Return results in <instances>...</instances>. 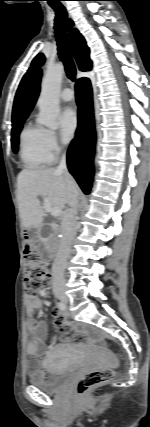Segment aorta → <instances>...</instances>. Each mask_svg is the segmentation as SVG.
<instances>
[{
	"instance_id": "obj_1",
	"label": "aorta",
	"mask_w": 150,
	"mask_h": 427,
	"mask_svg": "<svg viewBox=\"0 0 150 427\" xmlns=\"http://www.w3.org/2000/svg\"><path fill=\"white\" fill-rule=\"evenodd\" d=\"M64 73V65L58 63L49 66L42 81V90L38 100L40 114L38 122L50 129L57 128L60 112L59 93Z\"/></svg>"
}]
</instances>
